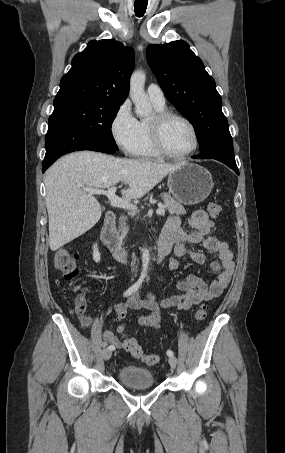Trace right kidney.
<instances>
[{
    "label": "right kidney",
    "instance_id": "right-kidney-1",
    "mask_svg": "<svg viewBox=\"0 0 285 453\" xmlns=\"http://www.w3.org/2000/svg\"><path fill=\"white\" fill-rule=\"evenodd\" d=\"M93 259L96 263L100 262L101 259L97 244L93 246Z\"/></svg>",
    "mask_w": 285,
    "mask_h": 453
}]
</instances>
